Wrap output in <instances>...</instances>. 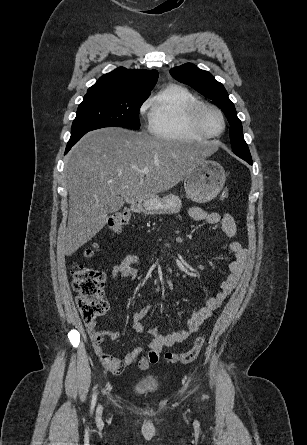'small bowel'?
<instances>
[{
  "mask_svg": "<svg viewBox=\"0 0 307 445\" xmlns=\"http://www.w3.org/2000/svg\"><path fill=\"white\" fill-rule=\"evenodd\" d=\"M189 214L197 221H205L212 226L220 225L223 233L228 238V241L222 245V249L234 255V259L229 261L227 265L229 273L222 281L220 290L208 299L202 307L192 313L187 321L186 328L183 330L169 334H161L157 328L146 330L142 324V320L150 311V304H147L134 312L132 323L135 331L139 334L148 332L152 335V340L148 345V352L146 355H142L144 351L143 348L136 347L126 353L123 359L113 357L106 352L102 344L105 336H108L111 339H117L119 333L108 330H98L94 321L87 323L86 328L96 355L99 357L103 366L114 374L122 373L126 366L131 365L139 358V367L143 370L147 369L150 364L157 363L159 354L164 348L171 347L177 343H182L195 334L204 321L211 317L213 312L223 305L225 299L233 292L240 281L244 270L247 251L240 242L234 240L237 233V227L233 216L229 213L220 214L217 212H207L199 207H191L189 209ZM141 262L142 259L139 255H127L117 265L112 267L110 276L112 278L134 280L137 278L138 272L133 266L138 265Z\"/></svg>",
  "mask_w": 307,
  "mask_h": 445,
  "instance_id": "1",
  "label": "small bowel"
}]
</instances>
